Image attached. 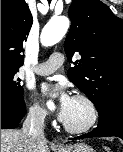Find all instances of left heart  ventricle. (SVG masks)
<instances>
[{
    "mask_svg": "<svg viewBox=\"0 0 123 152\" xmlns=\"http://www.w3.org/2000/svg\"><path fill=\"white\" fill-rule=\"evenodd\" d=\"M89 117V109L85 103L73 98L67 117L64 121L71 126L79 127L86 124Z\"/></svg>",
    "mask_w": 123,
    "mask_h": 152,
    "instance_id": "1",
    "label": "left heart ventricle"
}]
</instances>
